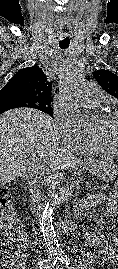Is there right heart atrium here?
Segmentation results:
<instances>
[{"label": "right heart atrium", "mask_w": 118, "mask_h": 269, "mask_svg": "<svg viewBox=\"0 0 118 269\" xmlns=\"http://www.w3.org/2000/svg\"><path fill=\"white\" fill-rule=\"evenodd\" d=\"M54 117L65 143L73 148L82 149L92 141L93 136L86 133L72 117L63 116L57 111L54 112Z\"/></svg>", "instance_id": "d8ad5b80"}]
</instances>
